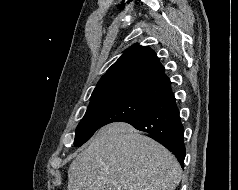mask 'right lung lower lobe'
I'll return each instance as SVG.
<instances>
[{
    "mask_svg": "<svg viewBox=\"0 0 238 190\" xmlns=\"http://www.w3.org/2000/svg\"><path fill=\"white\" fill-rule=\"evenodd\" d=\"M123 122L149 133L150 137L169 149L184 167V128L172 91L145 111Z\"/></svg>",
    "mask_w": 238,
    "mask_h": 190,
    "instance_id": "1",
    "label": "right lung lower lobe"
}]
</instances>
